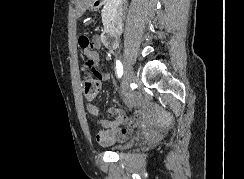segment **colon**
Masks as SVG:
<instances>
[{
	"instance_id": "obj_1",
	"label": "colon",
	"mask_w": 244,
	"mask_h": 179,
	"mask_svg": "<svg viewBox=\"0 0 244 179\" xmlns=\"http://www.w3.org/2000/svg\"><path fill=\"white\" fill-rule=\"evenodd\" d=\"M102 78L95 71L87 72L84 74V80L82 83V93L84 98L89 101H93L97 98Z\"/></svg>"
}]
</instances>
